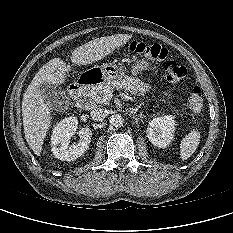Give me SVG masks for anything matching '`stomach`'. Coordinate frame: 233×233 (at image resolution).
Returning a JSON list of instances; mask_svg holds the SVG:
<instances>
[{"mask_svg":"<svg viewBox=\"0 0 233 233\" xmlns=\"http://www.w3.org/2000/svg\"><path fill=\"white\" fill-rule=\"evenodd\" d=\"M151 67L148 60H135L131 66L132 75H137ZM85 75L92 77L95 83H104L110 81H121L127 78L126 71L115 63H105L96 66L85 72Z\"/></svg>","mask_w":233,"mask_h":233,"instance_id":"obj_1","label":"stomach"}]
</instances>
